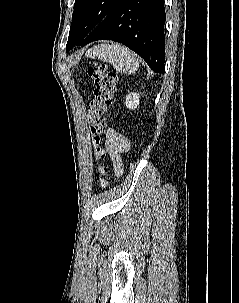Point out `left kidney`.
<instances>
[{"label":"left kidney","mask_w":239,"mask_h":303,"mask_svg":"<svg viewBox=\"0 0 239 303\" xmlns=\"http://www.w3.org/2000/svg\"><path fill=\"white\" fill-rule=\"evenodd\" d=\"M140 103L139 93H130L126 96V107L130 110H135Z\"/></svg>","instance_id":"1"}]
</instances>
